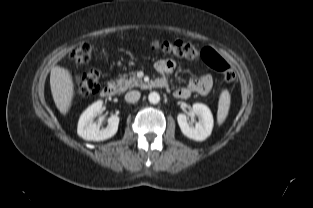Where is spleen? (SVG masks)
<instances>
[{"mask_svg":"<svg viewBox=\"0 0 313 208\" xmlns=\"http://www.w3.org/2000/svg\"><path fill=\"white\" fill-rule=\"evenodd\" d=\"M229 107H230V94L227 90H224L220 95L218 103L217 122L219 125H221L225 121L228 115Z\"/></svg>","mask_w":313,"mask_h":208,"instance_id":"1","label":"spleen"}]
</instances>
